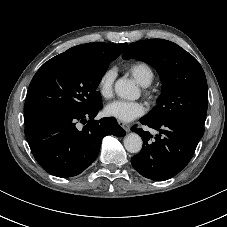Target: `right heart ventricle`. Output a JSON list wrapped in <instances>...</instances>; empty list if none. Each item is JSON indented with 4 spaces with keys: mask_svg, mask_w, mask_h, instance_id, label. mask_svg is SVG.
<instances>
[{
    "mask_svg": "<svg viewBox=\"0 0 227 227\" xmlns=\"http://www.w3.org/2000/svg\"><path fill=\"white\" fill-rule=\"evenodd\" d=\"M124 69L142 87H148L155 79L153 68L143 61L128 63Z\"/></svg>",
    "mask_w": 227,
    "mask_h": 227,
    "instance_id": "1",
    "label": "right heart ventricle"
}]
</instances>
